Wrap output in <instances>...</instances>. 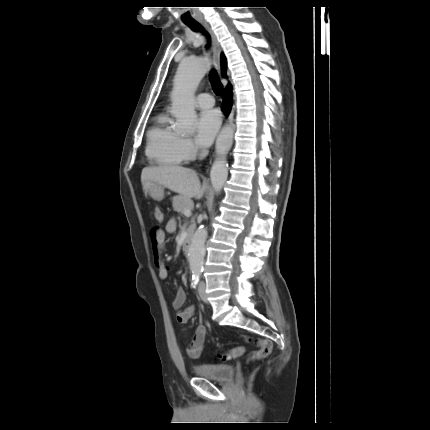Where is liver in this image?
<instances>
[{
	"label": "liver",
	"mask_w": 430,
	"mask_h": 430,
	"mask_svg": "<svg viewBox=\"0 0 430 430\" xmlns=\"http://www.w3.org/2000/svg\"><path fill=\"white\" fill-rule=\"evenodd\" d=\"M146 181L158 182L187 199H200L204 194V187H201L196 172L181 166L146 167L142 170L141 182L143 184Z\"/></svg>",
	"instance_id": "1"
}]
</instances>
